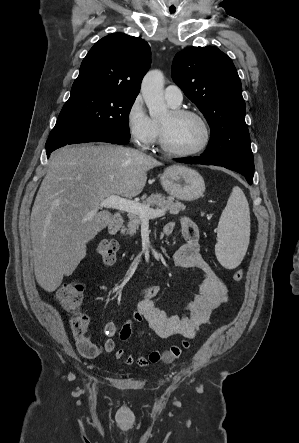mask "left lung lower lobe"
Segmentation results:
<instances>
[{"instance_id":"1","label":"left lung lower lobe","mask_w":299,"mask_h":443,"mask_svg":"<svg viewBox=\"0 0 299 443\" xmlns=\"http://www.w3.org/2000/svg\"><path fill=\"white\" fill-rule=\"evenodd\" d=\"M177 162H184L189 164H204V165H216L223 166L227 169L236 171L242 174L247 182L251 185L253 183V175H254V163L253 162H240V163H231V164H221L209 161L208 159L199 157H186L181 159H176Z\"/></svg>"}]
</instances>
